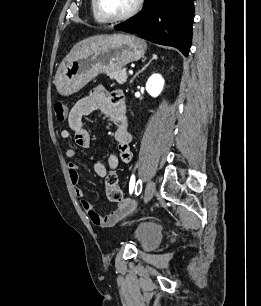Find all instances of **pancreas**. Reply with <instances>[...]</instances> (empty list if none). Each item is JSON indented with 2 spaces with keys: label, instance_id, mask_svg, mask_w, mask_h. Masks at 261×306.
Wrapping results in <instances>:
<instances>
[{
  "label": "pancreas",
  "instance_id": "1",
  "mask_svg": "<svg viewBox=\"0 0 261 306\" xmlns=\"http://www.w3.org/2000/svg\"><path fill=\"white\" fill-rule=\"evenodd\" d=\"M107 75L110 77V79H115L119 84H123L127 80L125 68L111 71Z\"/></svg>",
  "mask_w": 261,
  "mask_h": 306
}]
</instances>
